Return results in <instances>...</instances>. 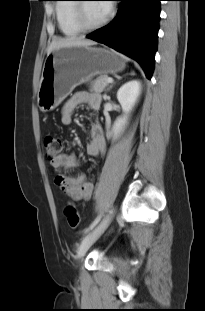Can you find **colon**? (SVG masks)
I'll use <instances>...</instances> for the list:
<instances>
[{"label":"colon","mask_w":205,"mask_h":311,"mask_svg":"<svg viewBox=\"0 0 205 311\" xmlns=\"http://www.w3.org/2000/svg\"><path fill=\"white\" fill-rule=\"evenodd\" d=\"M45 157L48 161H52L60 154L62 149V140L53 136L44 138ZM64 214L70 228L76 229L80 225V215L73 204L65 207Z\"/></svg>","instance_id":"1"}]
</instances>
